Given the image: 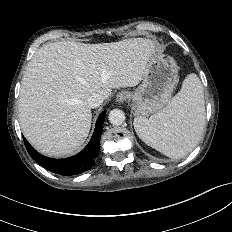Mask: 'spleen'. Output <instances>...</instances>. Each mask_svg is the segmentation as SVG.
I'll return each instance as SVG.
<instances>
[{"label":"spleen","instance_id":"spleen-1","mask_svg":"<svg viewBox=\"0 0 232 232\" xmlns=\"http://www.w3.org/2000/svg\"><path fill=\"white\" fill-rule=\"evenodd\" d=\"M204 127L203 87L194 73L187 75L180 91L163 110L149 119L141 116L134 119L139 138L173 159L182 158L195 148Z\"/></svg>","mask_w":232,"mask_h":232}]
</instances>
